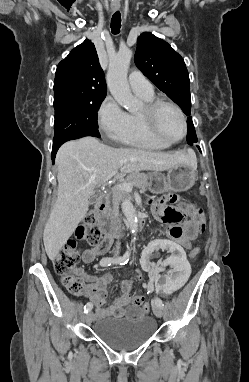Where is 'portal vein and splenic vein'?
<instances>
[{
    "label": "portal vein and splenic vein",
    "instance_id": "18ae733b",
    "mask_svg": "<svg viewBox=\"0 0 249 382\" xmlns=\"http://www.w3.org/2000/svg\"><path fill=\"white\" fill-rule=\"evenodd\" d=\"M116 173L117 171L112 172L111 176L115 175ZM133 185H134L133 182H123V183H120L117 187L121 190L131 192L133 189Z\"/></svg>",
    "mask_w": 249,
    "mask_h": 382
}]
</instances>
